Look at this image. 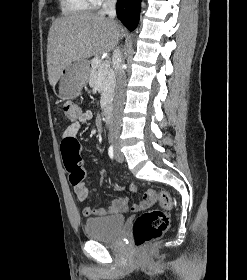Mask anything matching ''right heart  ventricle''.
<instances>
[{
	"label": "right heart ventricle",
	"instance_id": "right-heart-ventricle-1",
	"mask_svg": "<svg viewBox=\"0 0 247 280\" xmlns=\"http://www.w3.org/2000/svg\"><path fill=\"white\" fill-rule=\"evenodd\" d=\"M60 4L65 15L85 13L93 7L91 0H61Z\"/></svg>",
	"mask_w": 247,
	"mask_h": 280
}]
</instances>
